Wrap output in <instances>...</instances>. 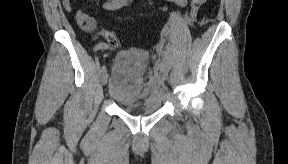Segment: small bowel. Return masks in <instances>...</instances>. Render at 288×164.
<instances>
[{
	"label": "small bowel",
	"mask_w": 288,
	"mask_h": 164,
	"mask_svg": "<svg viewBox=\"0 0 288 164\" xmlns=\"http://www.w3.org/2000/svg\"><path fill=\"white\" fill-rule=\"evenodd\" d=\"M104 7H105L106 9L112 10V9H115V8L117 7V3H116V1L107 2V3H105ZM79 15H85V16L89 19V21L92 22V19H91L89 16H87L86 14L82 13V12H77L76 18H77V16H79ZM86 29L89 30L90 27H86Z\"/></svg>",
	"instance_id": "c3829d8e"
}]
</instances>
